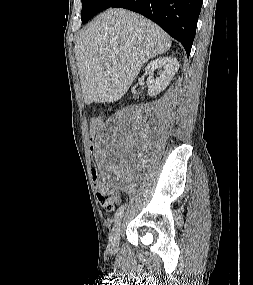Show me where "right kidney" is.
Instances as JSON below:
<instances>
[{"label":"right kidney","mask_w":253,"mask_h":285,"mask_svg":"<svg viewBox=\"0 0 253 285\" xmlns=\"http://www.w3.org/2000/svg\"><path fill=\"white\" fill-rule=\"evenodd\" d=\"M178 68L179 63L177 59L172 57H159L151 61L145 68V75H149L147 78L148 95L155 96L164 91ZM156 69L159 70V77L153 79L152 74Z\"/></svg>","instance_id":"right-kidney-1"}]
</instances>
